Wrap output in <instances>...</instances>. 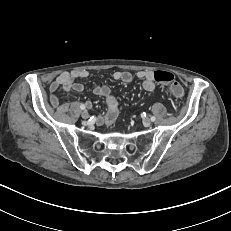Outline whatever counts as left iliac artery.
<instances>
[{
    "mask_svg": "<svg viewBox=\"0 0 231 231\" xmlns=\"http://www.w3.org/2000/svg\"><path fill=\"white\" fill-rule=\"evenodd\" d=\"M155 120H156V118H155L154 116H152V117H151V121L154 122Z\"/></svg>",
    "mask_w": 231,
    "mask_h": 231,
    "instance_id": "44dca946",
    "label": "left iliac artery"
}]
</instances>
